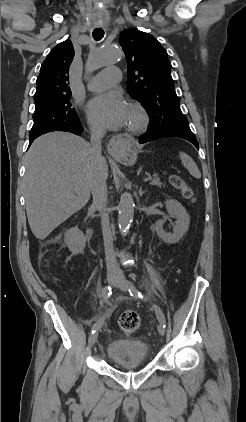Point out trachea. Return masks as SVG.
Wrapping results in <instances>:
<instances>
[{"mask_svg": "<svg viewBox=\"0 0 246 422\" xmlns=\"http://www.w3.org/2000/svg\"><path fill=\"white\" fill-rule=\"evenodd\" d=\"M93 38L96 40V41H99V40H101L102 38H103V36H104V31H103V29H94V31H93Z\"/></svg>", "mask_w": 246, "mask_h": 422, "instance_id": "obj_1", "label": "trachea"}]
</instances>
